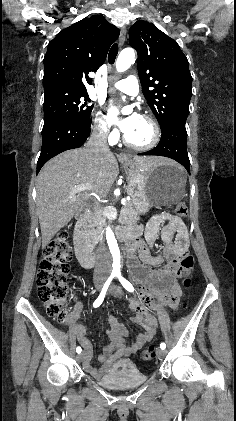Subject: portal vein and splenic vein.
<instances>
[{"label":"portal vein and splenic vein","instance_id":"portal-vein-and-splenic-vein-1","mask_svg":"<svg viewBox=\"0 0 236 421\" xmlns=\"http://www.w3.org/2000/svg\"><path fill=\"white\" fill-rule=\"evenodd\" d=\"M73 190H91V186L89 184H76ZM122 204H126V198H121Z\"/></svg>","mask_w":236,"mask_h":421}]
</instances>
